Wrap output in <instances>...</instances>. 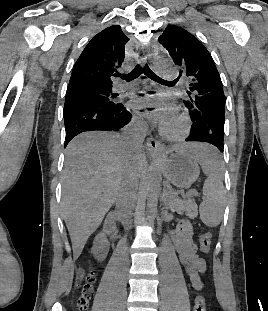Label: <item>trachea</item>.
Masks as SVG:
<instances>
[{"mask_svg":"<svg viewBox=\"0 0 268 311\" xmlns=\"http://www.w3.org/2000/svg\"><path fill=\"white\" fill-rule=\"evenodd\" d=\"M142 73H144L147 77H149L150 79L156 81V82H166V80H163L162 78L158 77L150 68L147 64H145L144 67L140 66V65H136L135 68L128 74H120L117 73L115 74V76L120 77L124 80H126L127 82L132 81L133 79H136L137 77H139V75H141Z\"/></svg>","mask_w":268,"mask_h":311,"instance_id":"obj_1","label":"trachea"}]
</instances>
